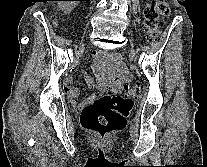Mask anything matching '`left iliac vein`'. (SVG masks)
Wrapping results in <instances>:
<instances>
[{"label": "left iliac vein", "mask_w": 207, "mask_h": 167, "mask_svg": "<svg viewBox=\"0 0 207 167\" xmlns=\"http://www.w3.org/2000/svg\"><path fill=\"white\" fill-rule=\"evenodd\" d=\"M132 54H133V55L135 54L134 51H132Z\"/></svg>", "instance_id": "left-iliac-vein-1"}]
</instances>
